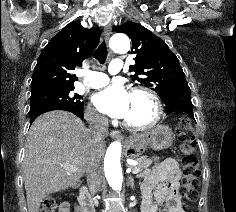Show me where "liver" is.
Wrapping results in <instances>:
<instances>
[{"instance_id": "6515ba94", "label": "liver", "mask_w": 236, "mask_h": 212, "mask_svg": "<svg viewBox=\"0 0 236 212\" xmlns=\"http://www.w3.org/2000/svg\"><path fill=\"white\" fill-rule=\"evenodd\" d=\"M104 151L102 142L97 147L99 162ZM94 152L91 132L76 115L52 111L39 116L28 132L22 164L28 212H38L47 195L75 186ZM66 164L78 171H65L61 165Z\"/></svg>"}]
</instances>
